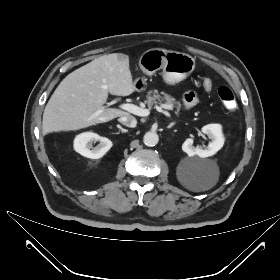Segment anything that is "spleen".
<instances>
[{
    "label": "spleen",
    "mask_w": 280,
    "mask_h": 280,
    "mask_svg": "<svg viewBox=\"0 0 280 280\" xmlns=\"http://www.w3.org/2000/svg\"><path fill=\"white\" fill-rule=\"evenodd\" d=\"M214 184H215V183L213 182L212 184L208 185V186L206 187V189L211 188Z\"/></svg>",
    "instance_id": "obj_1"
}]
</instances>
